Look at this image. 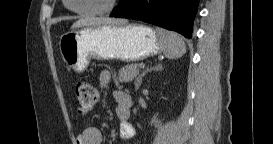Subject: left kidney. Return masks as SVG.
Masks as SVG:
<instances>
[{
    "label": "left kidney",
    "mask_w": 273,
    "mask_h": 144,
    "mask_svg": "<svg viewBox=\"0 0 273 144\" xmlns=\"http://www.w3.org/2000/svg\"><path fill=\"white\" fill-rule=\"evenodd\" d=\"M158 122H156L155 126H157Z\"/></svg>",
    "instance_id": "obj_1"
}]
</instances>
